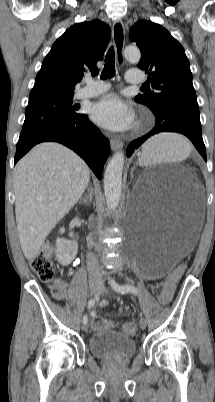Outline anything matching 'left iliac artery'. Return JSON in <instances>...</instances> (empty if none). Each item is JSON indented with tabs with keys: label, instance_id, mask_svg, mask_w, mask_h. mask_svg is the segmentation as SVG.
<instances>
[{
	"label": "left iliac artery",
	"instance_id": "left-iliac-artery-1",
	"mask_svg": "<svg viewBox=\"0 0 215 402\" xmlns=\"http://www.w3.org/2000/svg\"><path fill=\"white\" fill-rule=\"evenodd\" d=\"M110 284L112 286V288L120 293V294H127V293H131L134 295H138V290L135 286L132 285H119L117 284L113 279L110 280Z\"/></svg>",
	"mask_w": 215,
	"mask_h": 402
}]
</instances>
